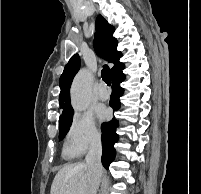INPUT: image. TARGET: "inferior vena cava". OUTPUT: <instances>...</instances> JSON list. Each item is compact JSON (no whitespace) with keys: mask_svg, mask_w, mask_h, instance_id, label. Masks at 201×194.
<instances>
[{"mask_svg":"<svg viewBox=\"0 0 201 194\" xmlns=\"http://www.w3.org/2000/svg\"><path fill=\"white\" fill-rule=\"evenodd\" d=\"M101 156L102 143L101 139L97 138L91 143L85 158L86 166L89 172V186L87 194L97 193L102 175Z\"/></svg>","mask_w":201,"mask_h":194,"instance_id":"inferior-vena-cava-1","label":"inferior vena cava"}]
</instances>
